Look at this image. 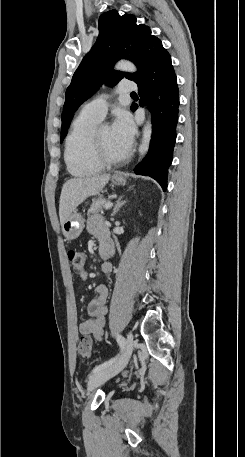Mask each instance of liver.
Here are the masks:
<instances>
[{"mask_svg":"<svg viewBox=\"0 0 245 457\" xmlns=\"http://www.w3.org/2000/svg\"><path fill=\"white\" fill-rule=\"evenodd\" d=\"M109 178L110 174H96V176H89V178L66 180L60 194L59 216L61 224L87 196L99 194Z\"/></svg>","mask_w":245,"mask_h":457,"instance_id":"6515ba94","label":"liver"}]
</instances>
